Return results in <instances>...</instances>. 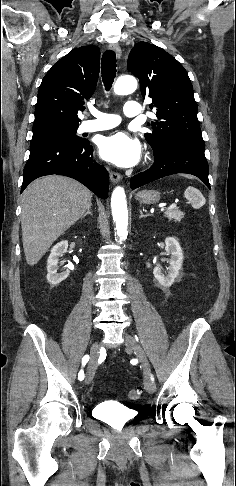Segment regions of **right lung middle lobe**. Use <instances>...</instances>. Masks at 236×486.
<instances>
[{
	"label": "right lung middle lobe",
	"mask_w": 236,
	"mask_h": 486,
	"mask_svg": "<svg viewBox=\"0 0 236 486\" xmlns=\"http://www.w3.org/2000/svg\"><path fill=\"white\" fill-rule=\"evenodd\" d=\"M79 124L47 123L33 126V139L56 138L67 142H80L83 139L76 135Z\"/></svg>",
	"instance_id": "1"
}]
</instances>
